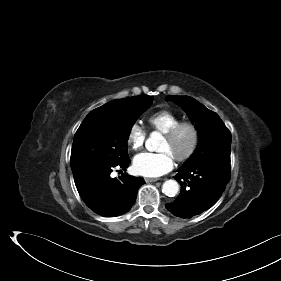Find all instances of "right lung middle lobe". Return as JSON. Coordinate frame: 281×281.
Instances as JSON below:
<instances>
[{"label": "right lung middle lobe", "mask_w": 281, "mask_h": 281, "mask_svg": "<svg viewBox=\"0 0 281 281\" xmlns=\"http://www.w3.org/2000/svg\"><path fill=\"white\" fill-rule=\"evenodd\" d=\"M152 96H135L113 109H95L75 133L71 168L96 164H118L127 159V141L137 118L152 104Z\"/></svg>", "instance_id": "dd1d6c3e"}]
</instances>
